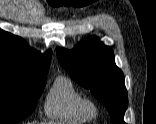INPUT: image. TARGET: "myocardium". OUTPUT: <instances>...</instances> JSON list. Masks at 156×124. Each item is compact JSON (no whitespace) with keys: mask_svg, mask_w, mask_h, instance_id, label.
Returning <instances> with one entry per match:
<instances>
[{"mask_svg":"<svg viewBox=\"0 0 156 124\" xmlns=\"http://www.w3.org/2000/svg\"><path fill=\"white\" fill-rule=\"evenodd\" d=\"M83 108L86 112L92 113V114H97L98 112V104L95 100L90 99V98H85L83 101Z\"/></svg>","mask_w":156,"mask_h":124,"instance_id":"1","label":"myocardium"}]
</instances>
